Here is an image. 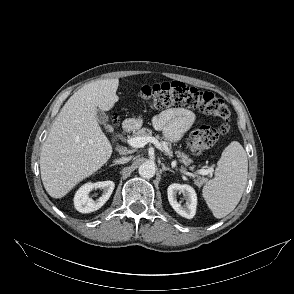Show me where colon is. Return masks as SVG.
<instances>
[{
  "mask_svg": "<svg viewBox=\"0 0 294 294\" xmlns=\"http://www.w3.org/2000/svg\"><path fill=\"white\" fill-rule=\"evenodd\" d=\"M139 95L154 109L185 106L221 120L217 127L202 124L190 133L187 143L193 154L199 155L210 149L219 136L228 132L230 128V112L227 105L211 92L172 81L143 86ZM112 124H117L115 117Z\"/></svg>",
  "mask_w": 294,
  "mask_h": 294,
  "instance_id": "colon-1",
  "label": "colon"
}]
</instances>
